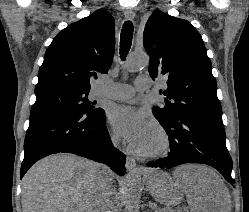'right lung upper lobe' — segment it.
Here are the masks:
<instances>
[{
  "mask_svg": "<svg viewBox=\"0 0 249 212\" xmlns=\"http://www.w3.org/2000/svg\"><path fill=\"white\" fill-rule=\"evenodd\" d=\"M115 51V24L109 12L97 10L70 24L47 48L35 94L89 92L90 77L107 73Z\"/></svg>",
  "mask_w": 249,
  "mask_h": 212,
  "instance_id": "1",
  "label": "right lung upper lobe"
}]
</instances>
